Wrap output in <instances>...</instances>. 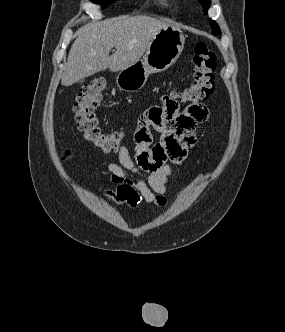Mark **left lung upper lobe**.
I'll list each match as a JSON object with an SVG mask.
<instances>
[{"instance_id":"obj_1","label":"left lung upper lobe","mask_w":285,"mask_h":332,"mask_svg":"<svg viewBox=\"0 0 285 332\" xmlns=\"http://www.w3.org/2000/svg\"><path fill=\"white\" fill-rule=\"evenodd\" d=\"M199 1H200L201 5L203 7L204 13H207L208 8H209V6L211 4V0H199ZM209 23L211 25V28L213 29V31H212L213 34H219V33H221V30H220L218 24L215 21L210 20Z\"/></svg>"}]
</instances>
